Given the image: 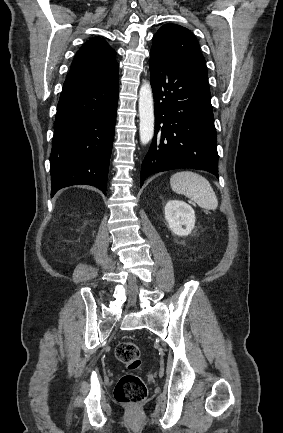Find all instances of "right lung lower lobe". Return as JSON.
<instances>
[{"instance_id": "98d812e1", "label": "right lung lower lobe", "mask_w": 283, "mask_h": 433, "mask_svg": "<svg viewBox=\"0 0 283 433\" xmlns=\"http://www.w3.org/2000/svg\"><path fill=\"white\" fill-rule=\"evenodd\" d=\"M119 76L100 85L62 91L50 156L51 196L86 184L105 195L113 146Z\"/></svg>"}]
</instances>
